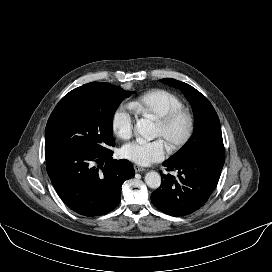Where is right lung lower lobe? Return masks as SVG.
Instances as JSON below:
<instances>
[{"instance_id":"right-lung-lower-lobe-1","label":"right lung lower lobe","mask_w":272,"mask_h":272,"mask_svg":"<svg viewBox=\"0 0 272 272\" xmlns=\"http://www.w3.org/2000/svg\"><path fill=\"white\" fill-rule=\"evenodd\" d=\"M109 148L97 154L71 151L46 160L48 175L62 201L84 216H100L120 202L123 182L135 175L130 161L112 160Z\"/></svg>"}]
</instances>
